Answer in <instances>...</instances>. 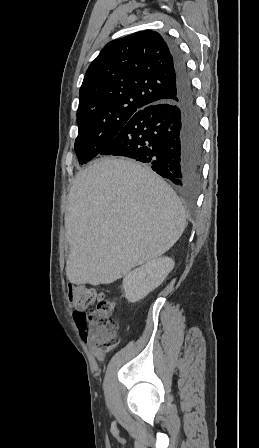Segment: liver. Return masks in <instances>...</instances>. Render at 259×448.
Returning <instances> with one entry per match:
<instances>
[{"label": "liver", "mask_w": 259, "mask_h": 448, "mask_svg": "<svg viewBox=\"0 0 259 448\" xmlns=\"http://www.w3.org/2000/svg\"><path fill=\"white\" fill-rule=\"evenodd\" d=\"M68 202L71 284H112L170 250L186 224L174 190L130 158H101L78 172Z\"/></svg>", "instance_id": "obj_1"}]
</instances>
